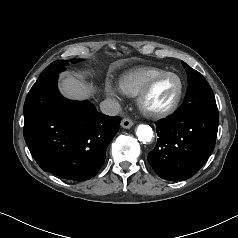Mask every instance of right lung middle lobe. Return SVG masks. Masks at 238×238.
I'll return each instance as SVG.
<instances>
[{"mask_svg": "<svg viewBox=\"0 0 238 238\" xmlns=\"http://www.w3.org/2000/svg\"><path fill=\"white\" fill-rule=\"evenodd\" d=\"M77 61L78 60H75V59L71 60L72 63H76ZM68 65H69V63L64 60L55 61V62L51 63L48 67H46L40 76L58 74L61 71H63L65 69V67Z\"/></svg>", "mask_w": 238, "mask_h": 238, "instance_id": "obj_1", "label": "right lung middle lobe"}]
</instances>
